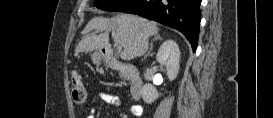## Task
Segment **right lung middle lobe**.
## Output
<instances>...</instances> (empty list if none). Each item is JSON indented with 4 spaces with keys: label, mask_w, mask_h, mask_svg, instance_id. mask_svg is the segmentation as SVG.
<instances>
[{
    "label": "right lung middle lobe",
    "mask_w": 273,
    "mask_h": 118,
    "mask_svg": "<svg viewBox=\"0 0 273 118\" xmlns=\"http://www.w3.org/2000/svg\"><path fill=\"white\" fill-rule=\"evenodd\" d=\"M132 0H95L94 6L105 11H119Z\"/></svg>",
    "instance_id": "right-lung-middle-lobe-1"
}]
</instances>
